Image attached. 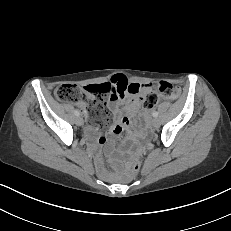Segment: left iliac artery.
<instances>
[{"instance_id":"left-iliac-artery-1","label":"left iliac artery","mask_w":231,"mask_h":231,"mask_svg":"<svg viewBox=\"0 0 231 231\" xmlns=\"http://www.w3.org/2000/svg\"><path fill=\"white\" fill-rule=\"evenodd\" d=\"M152 116H153V117H157V116H158V112H157V111H154V112L152 113Z\"/></svg>"}]
</instances>
